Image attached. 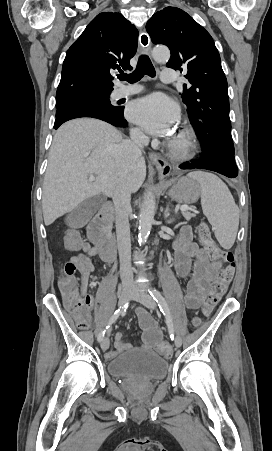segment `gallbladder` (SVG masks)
Listing matches in <instances>:
<instances>
[{"label": "gallbladder", "mask_w": 272, "mask_h": 451, "mask_svg": "<svg viewBox=\"0 0 272 451\" xmlns=\"http://www.w3.org/2000/svg\"><path fill=\"white\" fill-rule=\"evenodd\" d=\"M101 204L94 202L93 198H88L72 210L66 218V224L70 227H82L91 220L92 216L99 210Z\"/></svg>", "instance_id": "gallbladder-1"}]
</instances>
